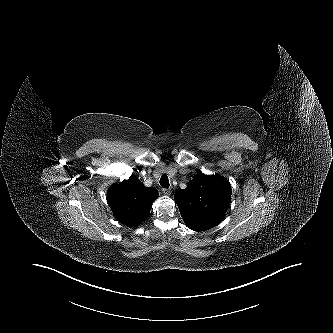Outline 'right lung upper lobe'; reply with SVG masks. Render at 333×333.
<instances>
[{"instance_id":"obj_1","label":"right lung upper lobe","mask_w":333,"mask_h":333,"mask_svg":"<svg viewBox=\"0 0 333 333\" xmlns=\"http://www.w3.org/2000/svg\"><path fill=\"white\" fill-rule=\"evenodd\" d=\"M157 197L158 191L154 187H145L134 176L113 184L107 191V202L114 217L130 227L139 225L149 215Z\"/></svg>"}]
</instances>
